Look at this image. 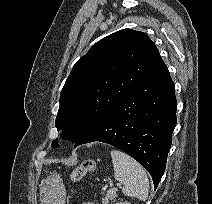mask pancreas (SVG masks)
<instances>
[{
    "instance_id": "pancreas-1",
    "label": "pancreas",
    "mask_w": 212,
    "mask_h": 204,
    "mask_svg": "<svg viewBox=\"0 0 212 204\" xmlns=\"http://www.w3.org/2000/svg\"><path fill=\"white\" fill-rule=\"evenodd\" d=\"M116 192H117L116 188L109 189L105 194V197L102 198V204H108L110 200H114L117 197Z\"/></svg>"
}]
</instances>
